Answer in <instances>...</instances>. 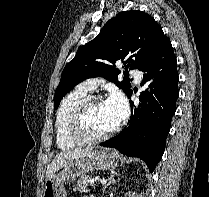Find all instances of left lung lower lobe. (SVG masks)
<instances>
[{
  "label": "left lung lower lobe",
  "mask_w": 209,
  "mask_h": 197,
  "mask_svg": "<svg viewBox=\"0 0 209 197\" xmlns=\"http://www.w3.org/2000/svg\"><path fill=\"white\" fill-rule=\"evenodd\" d=\"M140 70L144 72L143 82L151 81L150 90H145L139 97L143 102L141 108L137 109L131 102V118L127 126L100 145L142 159L153 172L164 153L179 94L177 61L168 39ZM131 95L132 91L127 96L130 98ZM144 101L148 104L144 105Z\"/></svg>",
  "instance_id": "1"
}]
</instances>
